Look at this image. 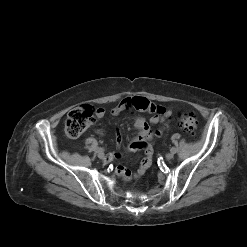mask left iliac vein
I'll return each instance as SVG.
<instances>
[{
  "instance_id": "4c4485c4",
  "label": "left iliac vein",
  "mask_w": 247,
  "mask_h": 247,
  "mask_svg": "<svg viewBox=\"0 0 247 247\" xmlns=\"http://www.w3.org/2000/svg\"><path fill=\"white\" fill-rule=\"evenodd\" d=\"M173 157H174V153H172V152H170V153H168V154L166 155V159H167V160H171V159H173Z\"/></svg>"
}]
</instances>
